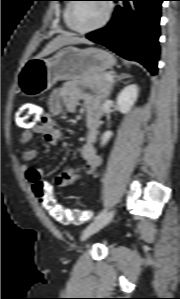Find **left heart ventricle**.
Listing matches in <instances>:
<instances>
[{
    "label": "left heart ventricle",
    "instance_id": "left-heart-ventricle-1",
    "mask_svg": "<svg viewBox=\"0 0 180 299\" xmlns=\"http://www.w3.org/2000/svg\"><path fill=\"white\" fill-rule=\"evenodd\" d=\"M105 15L103 2L77 4L74 12V24L82 29L90 28L100 23Z\"/></svg>",
    "mask_w": 180,
    "mask_h": 299
}]
</instances>
